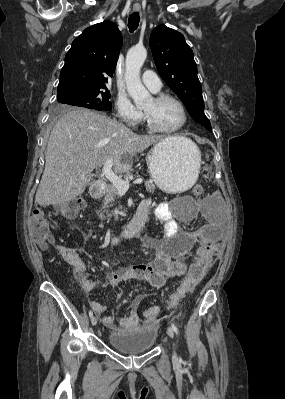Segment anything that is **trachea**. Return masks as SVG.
Masks as SVG:
<instances>
[{
    "mask_svg": "<svg viewBox=\"0 0 285 399\" xmlns=\"http://www.w3.org/2000/svg\"><path fill=\"white\" fill-rule=\"evenodd\" d=\"M139 21H140V18H139L138 12L132 13L129 16L128 27H129L130 32H134L137 29V27L139 26Z\"/></svg>",
    "mask_w": 285,
    "mask_h": 399,
    "instance_id": "1",
    "label": "trachea"
}]
</instances>
